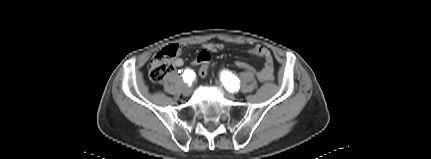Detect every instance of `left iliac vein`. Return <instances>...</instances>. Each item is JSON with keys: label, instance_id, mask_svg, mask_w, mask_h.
<instances>
[{"label": "left iliac vein", "instance_id": "obj_1", "mask_svg": "<svg viewBox=\"0 0 431 159\" xmlns=\"http://www.w3.org/2000/svg\"><path fill=\"white\" fill-rule=\"evenodd\" d=\"M216 84H217L218 86H221L220 81H216ZM225 96H226L228 99H230V100H234V99H235L234 94H233V93H230V92L225 93Z\"/></svg>", "mask_w": 431, "mask_h": 159}]
</instances>
